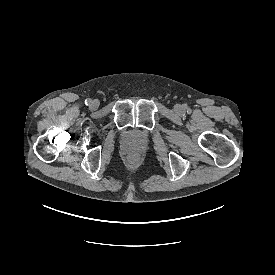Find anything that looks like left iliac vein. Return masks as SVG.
Instances as JSON below:
<instances>
[{
  "instance_id": "1",
  "label": "left iliac vein",
  "mask_w": 275,
  "mask_h": 275,
  "mask_svg": "<svg viewBox=\"0 0 275 275\" xmlns=\"http://www.w3.org/2000/svg\"><path fill=\"white\" fill-rule=\"evenodd\" d=\"M174 110L177 112V113H181L183 111V107L180 105V104H176L174 106Z\"/></svg>"
}]
</instances>
